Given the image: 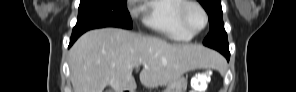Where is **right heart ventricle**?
<instances>
[{"label":"right heart ventricle","mask_w":296,"mask_h":92,"mask_svg":"<svg viewBox=\"0 0 296 92\" xmlns=\"http://www.w3.org/2000/svg\"><path fill=\"white\" fill-rule=\"evenodd\" d=\"M185 0H152L145 4L144 24L175 41H188L193 35L181 25L179 15Z\"/></svg>","instance_id":"right-heart-ventricle-1"}]
</instances>
